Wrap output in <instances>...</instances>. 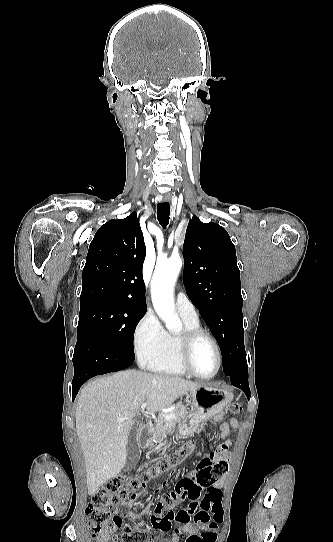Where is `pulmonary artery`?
I'll use <instances>...</instances> for the list:
<instances>
[{
	"label": "pulmonary artery",
	"mask_w": 333,
	"mask_h": 542,
	"mask_svg": "<svg viewBox=\"0 0 333 542\" xmlns=\"http://www.w3.org/2000/svg\"><path fill=\"white\" fill-rule=\"evenodd\" d=\"M176 310L181 316L187 319L192 321L198 320V314L193 303L183 292H178L176 295Z\"/></svg>",
	"instance_id": "1"
}]
</instances>
